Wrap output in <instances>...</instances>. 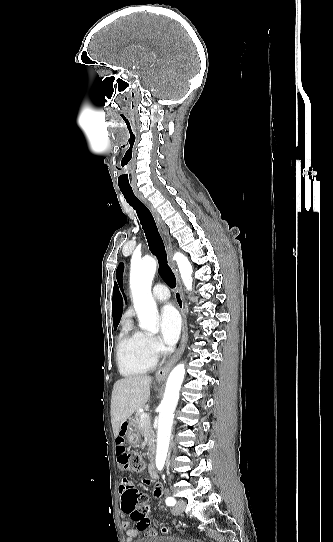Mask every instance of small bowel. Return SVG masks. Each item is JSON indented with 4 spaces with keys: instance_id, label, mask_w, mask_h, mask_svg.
<instances>
[{
    "instance_id": "1",
    "label": "small bowel",
    "mask_w": 333,
    "mask_h": 542,
    "mask_svg": "<svg viewBox=\"0 0 333 542\" xmlns=\"http://www.w3.org/2000/svg\"><path fill=\"white\" fill-rule=\"evenodd\" d=\"M127 431H128V426H127V423H123L121 425V428L119 430V433H118V437H117V459H118V463L121 467H126L127 466V452H126V449H125V443H126V434H127ZM151 484V481L148 480V479H145L143 481V485L144 486H149ZM130 491H131V484L130 482L128 481L127 478L125 477H120L119 479V483H118V492H119V496H120V501L122 503V499L123 497H129L130 496ZM163 492H164V486L160 483V482H156L154 484V487H153V490H152V494H153V497L158 499L160 498L162 495H163ZM143 499L146 498V493H141L140 495ZM121 512L123 513L122 514V519H127V508H123V506H121ZM122 527L126 533V541L127 542H137V538L139 536V531L133 527H131L130 525V522L129 521H123L122 522Z\"/></svg>"
}]
</instances>
